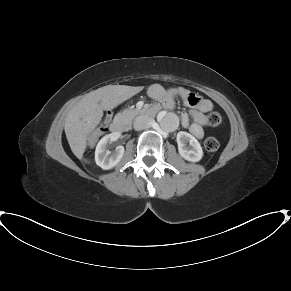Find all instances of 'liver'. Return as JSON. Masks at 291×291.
Instances as JSON below:
<instances>
[{
  "label": "liver",
  "mask_w": 291,
  "mask_h": 291,
  "mask_svg": "<svg viewBox=\"0 0 291 291\" xmlns=\"http://www.w3.org/2000/svg\"><path fill=\"white\" fill-rule=\"evenodd\" d=\"M141 90L142 87L107 85L89 92L72 107L65 117L64 130L69 146L78 159L82 160L87 135L100 123L103 110L115 108Z\"/></svg>",
  "instance_id": "6515ba94"
}]
</instances>
